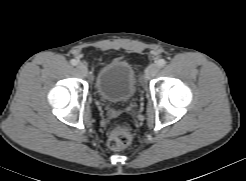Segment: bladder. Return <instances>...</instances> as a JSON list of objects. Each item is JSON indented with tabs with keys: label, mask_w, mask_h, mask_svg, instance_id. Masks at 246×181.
Returning <instances> with one entry per match:
<instances>
[{
	"label": "bladder",
	"mask_w": 246,
	"mask_h": 181,
	"mask_svg": "<svg viewBox=\"0 0 246 181\" xmlns=\"http://www.w3.org/2000/svg\"><path fill=\"white\" fill-rule=\"evenodd\" d=\"M136 88V73L130 63L122 59L102 66L95 79V90L106 102H128L134 97Z\"/></svg>",
	"instance_id": "31cf9c89"
}]
</instances>
